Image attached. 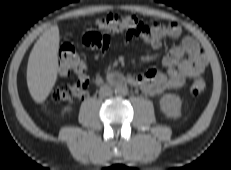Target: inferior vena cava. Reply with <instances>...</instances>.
Masks as SVG:
<instances>
[{
	"instance_id": "obj_1",
	"label": "inferior vena cava",
	"mask_w": 231,
	"mask_h": 170,
	"mask_svg": "<svg viewBox=\"0 0 231 170\" xmlns=\"http://www.w3.org/2000/svg\"><path fill=\"white\" fill-rule=\"evenodd\" d=\"M112 93H113V91H112V89H111V87H109V86H102L101 88H100V90H99V96L100 97H109V96H111L112 95Z\"/></svg>"
}]
</instances>
